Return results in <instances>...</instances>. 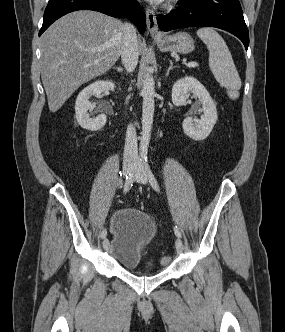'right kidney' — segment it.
I'll return each instance as SVG.
<instances>
[{
	"instance_id": "ca27d5eb",
	"label": "right kidney",
	"mask_w": 285,
	"mask_h": 332,
	"mask_svg": "<svg viewBox=\"0 0 285 332\" xmlns=\"http://www.w3.org/2000/svg\"><path fill=\"white\" fill-rule=\"evenodd\" d=\"M115 84L112 81H96L84 88L77 96L75 114L78 124L90 131H97L106 124V115L100 114L92 118L88 110L93 106L89 101L91 96H98L105 91H114Z\"/></svg>"
}]
</instances>
